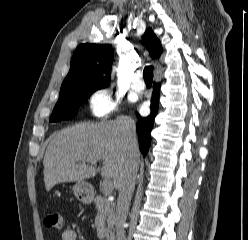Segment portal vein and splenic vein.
<instances>
[{"label":"portal vein and splenic vein","instance_id":"1","mask_svg":"<svg viewBox=\"0 0 248 240\" xmlns=\"http://www.w3.org/2000/svg\"><path fill=\"white\" fill-rule=\"evenodd\" d=\"M87 162L96 164L97 163V160H87ZM102 187H103V192L106 195H109L112 192V190H113V183H112V181L110 179L105 178L103 180Z\"/></svg>","mask_w":248,"mask_h":240}]
</instances>
